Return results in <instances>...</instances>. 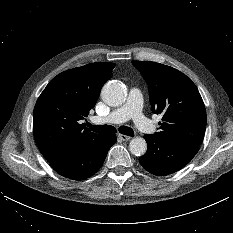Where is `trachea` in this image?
<instances>
[{
    "label": "trachea",
    "instance_id": "obj_1",
    "mask_svg": "<svg viewBox=\"0 0 233 233\" xmlns=\"http://www.w3.org/2000/svg\"><path fill=\"white\" fill-rule=\"evenodd\" d=\"M87 126L89 127L90 130L96 132V133H101V134H112V133H116L117 130L115 127L110 126V125H96L93 126L90 123H87ZM119 132L127 135V136H134V131L126 126H120L119 127Z\"/></svg>",
    "mask_w": 233,
    "mask_h": 233
}]
</instances>
